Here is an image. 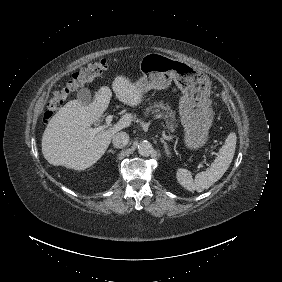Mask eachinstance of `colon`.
<instances>
[{"label":"colon","instance_id":"1","mask_svg":"<svg viewBox=\"0 0 282 282\" xmlns=\"http://www.w3.org/2000/svg\"><path fill=\"white\" fill-rule=\"evenodd\" d=\"M109 67L107 59L98 58L93 60L87 67L75 73L72 79L67 84L58 88L46 103L45 110L42 116V121L48 123L54 112L60 108L64 100L75 89L93 81L101 76Z\"/></svg>","mask_w":282,"mask_h":282}]
</instances>
